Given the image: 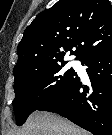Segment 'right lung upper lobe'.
I'll return each instance as SVG.
<instances>
[{"instance_id":"cb5924a9","label":"right lung upper lobe","mask_w":112,"mask_h":135,"mask_svg":"<svg viewBox=\"0 0 112 135\" xmlns=\"http://www.w3.org/2000/svg\"><path fill=\"white\" fill-rule=\"evenodd\" d=\"M112 47L109 0H59L37 15L18 45L14 76H26L65 55L86 56ZM75 48V51L72 49Z\"/></svg>"}]
</instances>
